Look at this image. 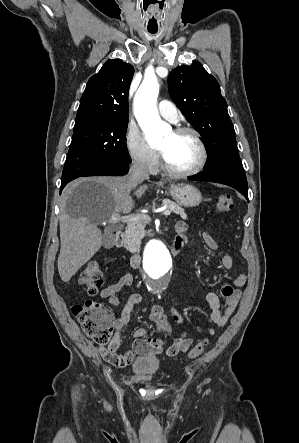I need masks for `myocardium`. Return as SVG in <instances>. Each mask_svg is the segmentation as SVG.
I'll use <instances>...</instances> for the list:
<instances>
[{"label": "myocardium", "mask_w": 299, "mask_h": 443, "mask_svg": "<svg viewBox=\"0 0 299 443\" xmlns=\"http://www.w3.org/2000/svg\"><path fill=\"white\" fill-rule=\"evenodd\" d=\"M173 132H174V134H177V135L190 134L194 138V140L196 141V144L198 146L199 157H198V160L195 163V165L192 166L191 168H189L187 170H175L166 164L161 152L159 151L160 166H161L162 170L167 175L175 177V178H185V177L193 176V175L199 173L204 168L206 161H207V156H208L205 143H204L200 133L196 129H194L192 127H188V126L178 127L176 129H174Z\"/></svg>", "instance_id": "myocardium-1"}]
</instances>
